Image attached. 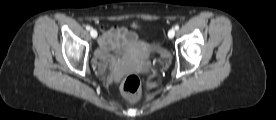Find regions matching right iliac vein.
Wrapping results in <instances>:
<instances>
[{"label":"right iliac vein","instance_id":"right-iliac-vein-1","mask_svg":"<svg viewBox=\"0 0 276 120\" xmlns=\"http://www.w3.org/2000/svg\"><path fill=\"white\" fill-rule=\"evenodd\" d=\"M90 35H91L93 38H96V37H97V31H96L95 29H91Z\"/></svg>","mask_w":276,"mask_h":120}]
</instances>
